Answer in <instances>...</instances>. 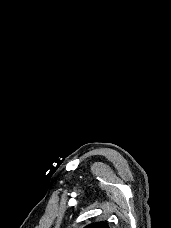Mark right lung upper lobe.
<instances>
[{
	"label": "right lung upper lobe",
	"instance_id": "1",
	"mask_svg": "<svg viewBox=\"0 0 171 228\" xmlns=\"http://www.w3.org/2000/svg\"><path fill=\"white\" fill-rule=\"evenodd\" d=\"M85 228H109L106 222H97L86 226Z\"/></svg>",
	"mask_w": 171,
	"mask_h": 228
}]
</instances>
